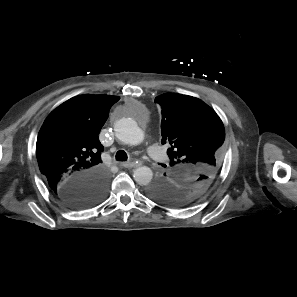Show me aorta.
I'll return each instance as SVG.
<instances>
[{"mask_svg": "<svg viewBox=\"0 0 297 297\" xmlns=\"http://www.w3.org/2000/svg\"><path fill=\"white\" fill-rule=\"evenodd\" d=\"M115 134L119 141L127 145H139L144 140V132L131 118H121L115 124ZM153 177L152 170L147 166L135 169L133 178L139 185H148Z\"/></svg>", "mask_w": 297, "mask_h": 297, "instance_id": "762f6f07", "label": "aorta"}]
</instances>
